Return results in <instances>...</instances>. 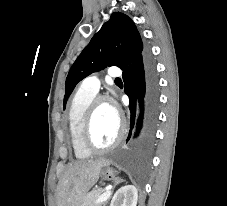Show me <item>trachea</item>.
I'll return each mask as SVG.
<instances>
[{"label": "trachea", "mask_w": 227, "mask_h": 206, "mask_svg": "<svg viewBox=\"0 0 227 206\" xmlns=\"http://www.w3.org/2000/svg\"><path fill=\"white\" fill-rule=\"evenodd\" d=\"M115 81H121V79L120 78H116Z\"/></svg>", "instance_id": "obj_1"}]
</instances>
